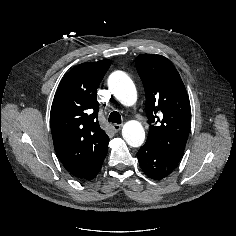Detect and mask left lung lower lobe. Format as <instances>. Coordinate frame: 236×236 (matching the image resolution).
<instances>
[{"label": "left lung lower lobe", "mask_w": 236, "mask_h": 236, "mask_svg": "<svg viewBox=\"0 0 236 236\" xmlns=\"http://www.w3.org/2000/svg\"><path fill=\"white\" fill-rule=\"evenodd\" d=\"M137 157L144 173L154 180H161L178 166V162L165 157L148 145L139 149Z\"/></svg>", "instance_id": "0a47b994"}]
</instances>
